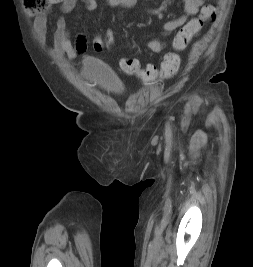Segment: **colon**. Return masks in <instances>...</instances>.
I'll list each match as a JSON object with an SVG mask.
<instances>
[{"mask_svg": "<svg viewBox=\"0 0 253 267\" xmlns=\"http://www.w3.org/2000/svg\"><path fill=\"white\" fill-rule=\"evenodd\" d=\"M63 0H23L26 9L40 12L46 10L50 5L61 3ZM216 16V9L213 5L207 4L202 7L200 15L188 21L175 35L173 40V51L168 52L157 69L155 66H147L142 69L136 59L122 58L120 60L121 69L129 74L139 76L145 81H153L157 78H170L176 74L179 69L181 58L178 52L183 51L191 42L193 37L197 35L203 25L214 19ZM93 49L97 52L103 50L116 49V40L113 32L98 35L93 40Z\"/></svg>", "mask_w": 253, "mask_h": 267, "instance_id": "colon-1", "label": "colon"}]
</instances>
